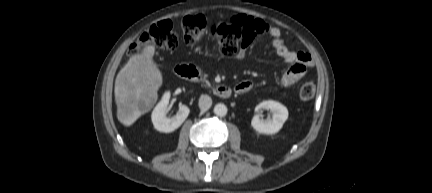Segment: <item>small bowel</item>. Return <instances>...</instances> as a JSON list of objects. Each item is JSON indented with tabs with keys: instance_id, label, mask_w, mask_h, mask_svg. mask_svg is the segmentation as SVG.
Instances as JSON below:
<instances>
[{
	"instance_id": "obj_1",
	"label": "small bowel",
	"mask_w": 432,
	"mask_h": 193,
	"mask_svg": "<svg viewBox=\"0 0 432 193\" xmlns=\"http://www.w3.org/2000/svg\"><path fill=\"white\" fill-rule=\"evenodd\" d=\"M232 23L242 25L248 28L253 37L258 34H268L271 36L272 47L276 54L287 64L289 69L281 77L279 84L282 87H290L304 77L308 68L313 67L314 62L309 53L304 51L295 52L285 44L281 30L261 19H257L247 15H239L231 20ZM245 47L240 50L237 59L240 60L245 56ZM253 87L251 81L244 80L238 83L234 90L238 94H244L250 91Z\"/></svg>"
}]
</instances>
